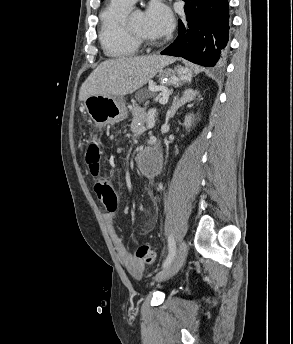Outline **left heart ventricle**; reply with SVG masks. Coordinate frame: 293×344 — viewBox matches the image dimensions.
Listing matches in <instances>:
<instances>
[{"label":"left heart ventricle","mask_w":293,"mask_h":344,"mask_svg":"<svg viewBox=\"0 0 293 344\" xmlns=\"http://www.w3.org/2000/svg\"><path fill=\"white\" fill-rule=\"evenodd\" d=\"M129 27L136 33L154 41L156 37L150 35L145 30L144 26V14L141 12H137L131 15V17L128 20Z\"/></svg>","instance_id":"b2bd125f"}]
</instances>
